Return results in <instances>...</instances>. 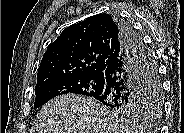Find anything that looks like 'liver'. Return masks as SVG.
I'll list each match as a JSON object with an SVG mask.
<instances>
[{"label": "liver", "mask_w": 184, "mask_h": 133, "mask_svg": "<svg viewBox=\"0 0 184 133\" xmlns=\"http://www.w3.org/2000/svg\"><path fill=\"white\" fill-rule=\"evenodd\" d=\"M143 127L118 117L93 98L60 95L45 104L37 133H143Z\"/></svg>", "instance_id": "liver-1"}]
</instances>
